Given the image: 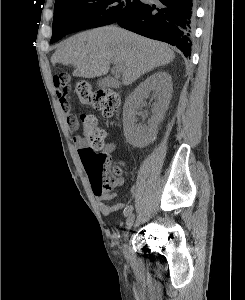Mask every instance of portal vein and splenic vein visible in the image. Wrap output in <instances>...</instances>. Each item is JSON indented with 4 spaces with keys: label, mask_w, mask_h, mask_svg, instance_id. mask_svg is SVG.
<instances>
[{
    "label": "portal vein and splenic vein",
    "mask_w": 245,
    "mask_h": 300,
    "mask_svg": "<svg viewBox=\"0 0 245 300\" xmlns=\"http://www.w3.org/2000/svg\"><path fill=\"white\" fill-rule=\"evenodd\" d=\"M116 68V73H120V69L118 67H115Z\"/></svg>",
    "instance_id": "1"
}]
</instances>
